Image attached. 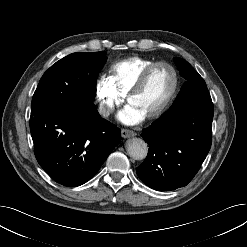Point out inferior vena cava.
I'll use <instances>...</instances> for the list:
<instances>
[{"mask_svg":"<svg viewBox=\"0 0 247 247\" xmlns=\"http://www.w3.org/2000/svg\"><path fill=\"white\" fill-rule=\"evenodd\" d=\"M111 112H112V110L110 108L103 107L100 109V114L104 117L109 116Z\"/></svg>","mask_w":247,"mask_h":247,"instance_id":"inferior-vena-cava-1","label":"inferior vena cava"}]
</instances>
